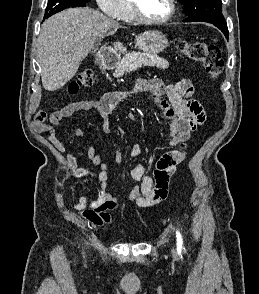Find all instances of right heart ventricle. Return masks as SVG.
<instances>
[{"instance_id": "1", "label": "right heart ventricle", "mask_w": 259, "mask_h": 294, "mask_svg": "<svg viewBox=\"0 0 259 294\" xmlns=\"http://www.w3.org/2000/svg\"><path fill=\"white\" fill-rule=\"evenodd\" d=\"M120 19L126 22H133L136 20L129 0H125V9Z\"/></svg>"}]
</instances>
